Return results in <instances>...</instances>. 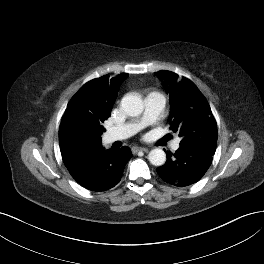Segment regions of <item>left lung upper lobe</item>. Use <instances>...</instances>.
Segmentation results:
<instances>
[{"label":"left lung upper lobe","mask_w":264,"mask_h":264,"mask_svg":"<svg viewBox=\"0 0 264 264\" xmlns=\"http://www.w3.org/2000/svg\"><path fill=\"white\" fill-rule=\"evenodd\" d=\"M155 75L169 94L170 129L182 138L180 147L215 152L218 135L216 121L199 89L189 79L180 78L170 71H159Z\"/></svg>","instance_id":"1"}]
</instances>
